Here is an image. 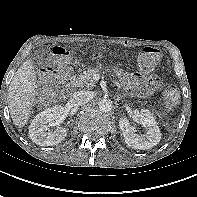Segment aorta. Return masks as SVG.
<instances>
[{
  "label": "aorta",
  "mask_w": 197,
  "mask_h": 197,
  "mask_svg": "<svg viewBox=\"0 0 197 197\" xmlns=\"http://www.w3.org/2000/svg\"><path fill=\"white\" fill-rule=\"evenodd\" d=\"M99 109L104 112H108L112 109V101L110 99L104 98L98 103Z\"/></svg>",
  "instance_id": "1"
}]
</instances>
